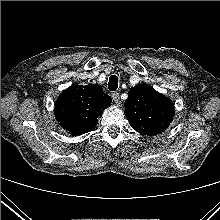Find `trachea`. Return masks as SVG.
<instances>
[{"label": "trachea", "instance_id": "obj_1", "mask_svg": "<svg viewBox=\"0 0 220 220\" xmlns=\"http://www.w3.org/2000/svg\"><path fill=\"white\" fill-rule=\"evenodd\" d=\"M118 88V77L116 75H112L109 78L108 89L110 91H116Z\"/></svg>", "mask_w": 220, "mask_h": 220}]
</instances>
